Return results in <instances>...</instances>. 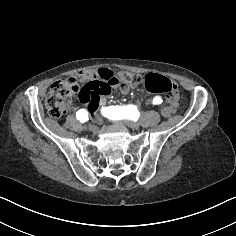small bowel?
Listing matches in <instances>:
<instances>
[{
    "mask_svg": "<svg viewBox=\"0 0 236 236\" xmlns=\"http://www.w3.org/2000/svg\"><path fill=\"white\" fill-rule=\"evenodd\" d=\"M122 92L127 93L128 88H123ZM162 101H163V99L160 96H155V97L151 98L150 100H148L147 103L150 105H159L162 103ZM98 106H106V99L105 98L101 99Z\"/></svg>",
    "mask_w": 236,
    "mask_h": 236,
    "instance_id": "obj_1",
    "label": "small bowel"
}]
</instances>
